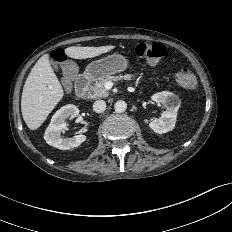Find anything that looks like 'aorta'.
Here are the masks:
<instances>
[{"mask_svg":"<svg viewBox=\"0 0 232 232\" xmlns=\"http://www.w3.org/2000/svg\"><path fill=\"white\" fill-rule=\"evenodd\" d=\"M114 109L118 113H122L127 109V103L123 100H119L115 103Z\"/></svg>","mask_w":232,"mask_h":232,"instance_id":"obj_1","label":"aorta"}]
</instances>
